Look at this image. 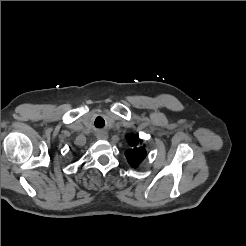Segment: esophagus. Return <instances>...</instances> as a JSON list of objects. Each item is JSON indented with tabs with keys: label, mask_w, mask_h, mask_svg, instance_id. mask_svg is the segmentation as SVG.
<instances>
[{
	"label": "esophagus",
	"mask_w": 246,
	"mask_h": 246,
	"mask_svg": "<svg viewBox=\"0 0 246 246\" xmlns=\"http://www.w3.org/2000/svg\"><path fill=\"white\" fill-rule=\"evenodd\" d=\"M96 138L106 140L108 138V134L106 132H97Z\"/></svg>",
	"instance_id": "1"
}]
</instances>
